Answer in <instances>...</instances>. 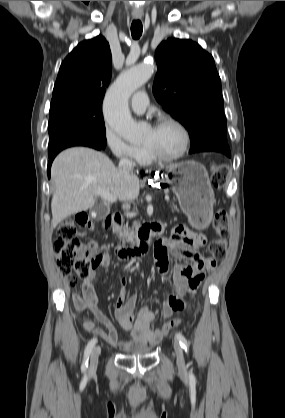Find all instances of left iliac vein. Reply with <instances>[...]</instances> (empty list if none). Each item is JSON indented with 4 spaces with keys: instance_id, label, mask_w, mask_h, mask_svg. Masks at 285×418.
<instances>
[{
    "instance_id": "left-iliac-vein-1",
    "label": "left iliac vein",
    "mask_w": 285,
    "mask_h": 418,
    "mask_svg": "<svg viewBox=\"0 0 285 418\" xmlns=\"http://www.w3.org/2000/svg\"><path fill=\"white\" fill-rule=\"evenodd\" d=\"M173 347L176 353L177 358V366L179 370L184 371L185 370V361H184V354H183V348L180 345L179 341L173 342Z\"/></svg>"
}]
</instances>
